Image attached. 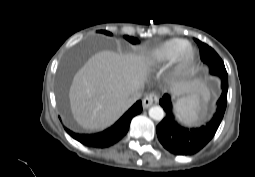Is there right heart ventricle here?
Instances as JSON below:
<instances>
[{"label":"right heart ventricle","mask_w":255,"mask_h":177,"mask_svg":"<svg viewBox=\"0 0 255 177\" xmlns=\"http://www.w3.org/2000/svg\"><path fill=\"white\" fill-rule=\"evenodd\" d=\"M187 44L185 39L181 38H172L169 39L160 45L156 46L150 52V58L153 63L157 65H165L171 63L177 53Z\"/></svg>","instance_id":"obj_1"}]
</instances>
